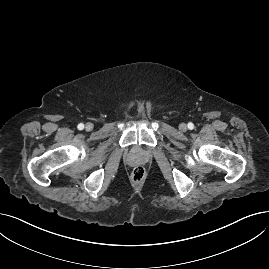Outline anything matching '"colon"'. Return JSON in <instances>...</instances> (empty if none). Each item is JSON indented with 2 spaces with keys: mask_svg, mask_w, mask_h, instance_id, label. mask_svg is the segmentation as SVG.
<instances>
[{
  "mask_svg": "<svg viewBox=\"0 0 269 269\" xmlns=\"http://www.w3.org/2000/svg\"><path fill=\"white\" fill-rule=\"evenodd\" d=\"M132 179L134 181H142L145 178L146 171L142 166H136L132 170Z\"/></svg>",
  "mask_w": 269,
  "mask_h": 269,
  "instance_id": "colon-1",
  "label": "colon"
}]
</instances>
